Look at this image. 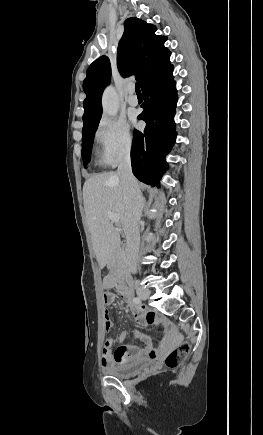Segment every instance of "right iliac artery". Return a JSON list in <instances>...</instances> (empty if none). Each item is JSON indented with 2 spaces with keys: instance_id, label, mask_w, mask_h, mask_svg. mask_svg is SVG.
<instances>
[{
  "instance_id": "right-iliac-artery-1",
  "label": "right iliac artery",
  "mask_w": 263,
  "mask_h": 435,
  "mask_svg": "<svg viewBox=\"0 0 263 435\" xmlns=\"http://www.w3.org/2000/svg\"><path fill=\"white\" fill-rule=\"evenodd\" d=\"M133 302H134L135 304H140V303H141V299H140L139 297H135V298L133 299Z\"/></svg>"
}]
</instances>
